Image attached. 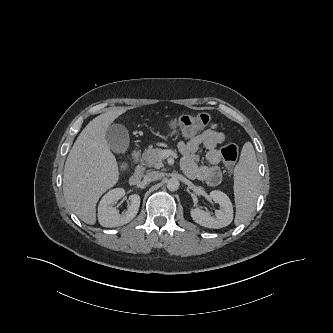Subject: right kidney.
<instances>
[{"instance_id": "obj_1", "label": "right kidney", "mask_w": 333, "mask_h": 333, "mask_svg": "<svg viewBox=\"0 0 333 333\" xmlns=\"http://www.w3.org/2000/svg\"><path fill=\"white\" fill-rule=\"evenodd\" d=\"M125 195L123 188H115L106 193L98 206V220L103 227H118L129 223L137 215L140 206V196H129L131 204L122 213L114 207V204Z\"/></svg>"}]
</instances>
